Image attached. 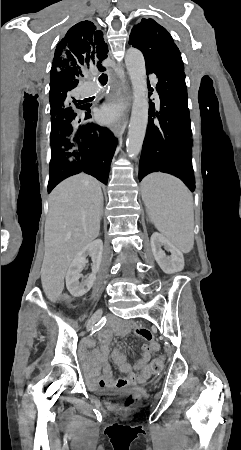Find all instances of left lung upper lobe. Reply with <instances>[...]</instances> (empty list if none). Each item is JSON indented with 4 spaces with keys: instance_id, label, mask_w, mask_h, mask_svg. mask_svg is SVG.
<instances>
[{
    "instance_id": "left-lung-upper-lobe-1",
    "label": "left lung upper lobe",
    "mask_w": 241,
    "mask_h": 450,
    "mask_svg": "<svg viewBox=\"0 0 241 450\" xmlns=\"http://www.w3.org/2000/svg\"><path fill=\"white\" fill-rule=\"evenodd\" d=\"M129 44L139 49L146 63H154L160 57L171 52L175 43L168 31L153 19L143 18L132 28Z\"/></svg>"
}]
</instances>
